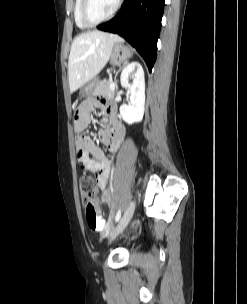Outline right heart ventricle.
Masks as SVG:
<instances>
[{
    "label": "right heart ventricle",
    "mask_w": 247,
    "mask_h": 304,
    "mask_svg": "<svg viewBox=\"0 0 247 304\" xmlns=\"http://www.w3.org/2000/svg\"><path fill=\"white\" fill-rule=\"evenodd\" d=\"M81 2H82V0H75V2H74V11H73L74 20H75V23H76V25H77L78 28H80V29H86V28H88V26H86L82 22L81 17H80Z\"/></svg>",
    "instance_id": "e07e8e85"
}]
</instances>
